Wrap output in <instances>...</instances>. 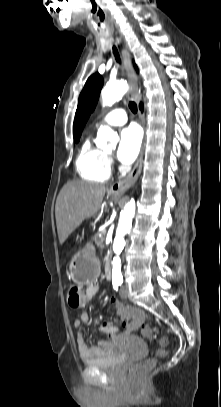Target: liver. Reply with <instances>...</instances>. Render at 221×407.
<instances>
[{
  "label": "liver",
  "instance_id": "obj_1",
  "mask_svg": "<svg viewBox=\"0 0 221 407\" xmlns=\"http://www.w3.org/2000/svg\"><path fill=\"white\" fill-rule=\"evenodd\" d=\"M107 188L99 184L72 181L60 191L55 216L60 244L87 218L94 216L101 208Z\"/></svg>",
  "mask_w": 221,
  "mask_h": 407
}]
</instances>
